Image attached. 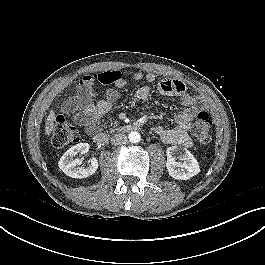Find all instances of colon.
Returning a JSON list of instances; mask_svg holds the SVG:
<instances>
[{
    "instance_id": "1",
    "label": "colon",
    "mask_w": 265,
    "mask_h": 265,
    "mask_svg": "<svg viewBox=\"0 0 265 265\" xmlns=\"http://www.w3.org/2000/svg\"><path fill=\"white\" fill-rule=\"evenodd\" d=\"M117 73L108 72L95 75L98 80L112 82ZM70 115L67 113L58 115L52 135V143L55 147L61 148L79 141L77 129L69 121ZM212 121L207 112L201 111L195 117L191 131L195 139L201 144H207L211 140Z\"/></svg>"
}]
</instances>
